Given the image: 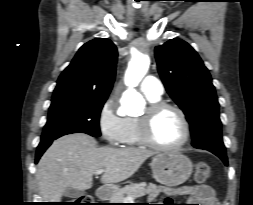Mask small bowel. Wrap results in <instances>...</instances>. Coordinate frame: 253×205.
<instances>
[{
	"instance_id": "small-bowel-1",
	"label": "small bowel",
	"mask_w": 253,
	"mask_h": 205,
	"mask_svg": "<svg viewBox=\"0 0 253 205\" xmlns=\"http://www.w3.org/2000/svg\"><path fill=\"white\" fill-rule=\"evenodd\" d=\"M161 191L167 196H186L194 205H218L213 190L207 185L185 186L179 189L162 188Z\"/></svg>"
}]
</instances>
